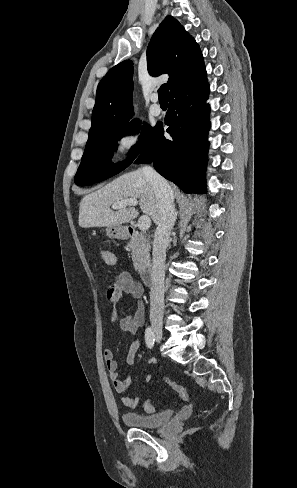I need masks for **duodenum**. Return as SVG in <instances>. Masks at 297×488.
<instances>
[{"instance_id":"duodenum-1","label":"duodenum","mask_w":297,"mask_h":488,"mask_svg":"<svg viewBox=\"0 0 297 488\" xmlns=\"http://www.w3.org/2000/svg\"><path fill=\"white\" fill-rule=\"evenodd\" d=\"M156 269L153 263L147 262L140 269V277L146 285H151L155 281Z\"/></svg>"}]
</instances>
